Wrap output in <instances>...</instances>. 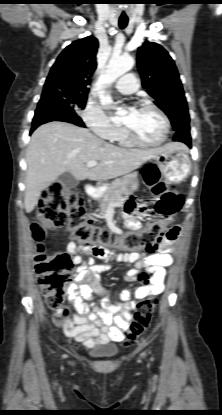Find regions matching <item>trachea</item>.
<instances>
[{"mask_svg": "<svg viewBox=\"0 0 222 415\" xmlns=\"http://www.w3.org/2000/svg\"><path fill=\"white\" fill-rule=\"evenodd\" d=\"M128 24V20L119 19V27L120 29H124Z\"/></svg>", "mask_w": 222, "mask_h": 415, "instance_id": "3493384b", "label": "trachea"}]
</instances>
